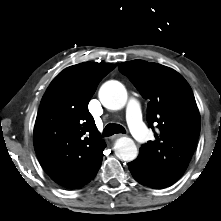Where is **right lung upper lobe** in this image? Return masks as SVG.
Here are the masks:
<instances>
[{
	"mask_svg": "<svg viewBox=\"0 0 221 221\" xmlns=\"http://www.w3.org/2000/svg\"><path fill=\"white\" fill-rule=\"evenodd\" d=\"M114 68L92 62L70 66L53 79L41 100L34 148L46 173L66 188L82 187L100 168L106 143L87 107Z\"/></svg>",
	"mask_w": 221,
	"mask_h": 221,
	"instance_id": "cb5924a9",
	"label": "right lung upper lobe"
}]
</instances>
